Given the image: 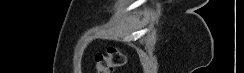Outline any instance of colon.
<instances>
[{
    "mask_svg": "<svg viewBox=\"0 0 244 73\" xmlns=\"http://www.w3.org/2000/svg\"><path fill=\"white\" fill-rule=\"evenodd\" d=\"M98 73H112L116 68L125 64V55L114 46H109L105 53H98L95 57Z\"/></svg>",
    "mask_w": 244,
    "mask_h": 73,
    "instance_id": "colon-1",
    "label": "colon"
}]
</instances>
